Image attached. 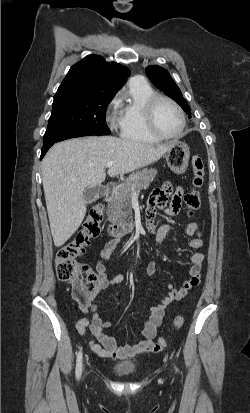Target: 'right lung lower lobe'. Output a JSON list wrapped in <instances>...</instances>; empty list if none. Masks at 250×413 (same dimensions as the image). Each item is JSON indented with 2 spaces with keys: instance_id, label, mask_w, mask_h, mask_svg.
<instances>
[{
  "instance_id": "98d812e1",
  "label": "right lung lower lobe",
  "mask_w": 250,
  "mask_h": 413,
  "mask_svg": "<svg viewBox=\"0 0 250 413\" xmlns=\"http://www.w3.org/2000/svg\"><path fill=\"white\" fill-rule=\"evenodd\" d=\"M90 135L101 136V135H104V134L96 133V132H89V131H75V132H70V133L63 134V135L57 137L53 141H49V142L44 143V145L42 147V150H41V158L40 159H42L44 157V155L46 154L48 149L56 142L63 141V140L69 139V138L90 136Z\"/></svg>"
}]
</instances>
